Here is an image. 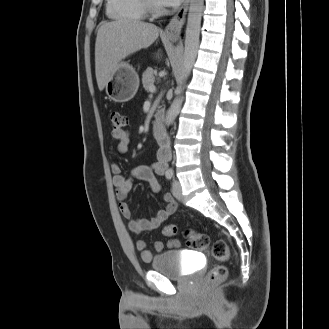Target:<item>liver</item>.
Masks as SVG:
<instances>
[{
	"label": "liver",
	"instance_id": "obj_1",
	"mask_svg": "<svg viewBox=\"0 0 329 329\" xmlns=\"http://www.w3.org/2000/svg\"><path fill=\"white\" fill-rule=\"evenodd\" d=\"M160 29L138 20L120 19L103 23L95 43V74L102 91L118 64L137 51L149 47L159 36Z\"/></svg>",
	"mask_w": 329,
	"mask_h": 329
}]
</instances>
